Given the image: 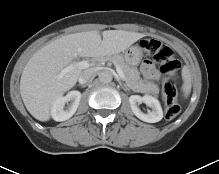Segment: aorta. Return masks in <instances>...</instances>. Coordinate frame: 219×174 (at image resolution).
I'll list each match as a JSON object with an SVG mask.
<instances>
[{
  "mask_svg": "<svg viewBox=\"0 0 219 174\" xmlns=\"http://www.w3.org/2000/svg\"><path fill=\"white\" fill-rule=\"evenodd\" d=\"M113 79V75L110 71H102L99 73V80L102 83H110Z\"/></svg>",
  "mask_w": 219,
  "mask_h": 174,
  "instance_id": "1",
  "label": "aorta"
}]
</instances>
